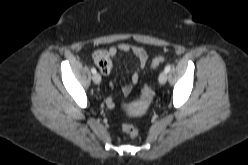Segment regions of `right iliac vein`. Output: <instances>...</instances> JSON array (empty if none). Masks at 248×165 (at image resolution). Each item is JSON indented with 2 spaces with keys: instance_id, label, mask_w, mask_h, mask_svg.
Listing matches in <instances>:
<instances>
[{
  "instance_id": "1",
  "label": "right iliac vein",
  "mask_w": 248,
  "mask_h": 165,
  "mask_svg": "<svg viewBox=\"0 0 248 165\" xmlns=\"http://www.w3.org/2000/svg\"><path fill=\"white\" fill-rule=\"evenodd\" d=\"M92 80L95 84H99L101 82V76L98 73H95L92 77Z\"/></svg>"
}]
</instances>
